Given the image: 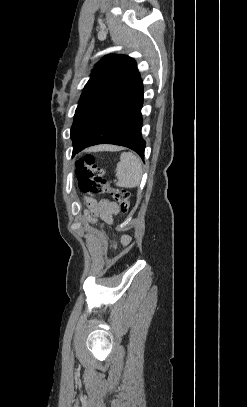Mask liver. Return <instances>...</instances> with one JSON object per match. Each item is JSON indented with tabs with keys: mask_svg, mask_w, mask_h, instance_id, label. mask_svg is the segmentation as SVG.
<instances>
[{
	"mask_svg": "<svg viewBox=\"0 0 247 407\" xmlns=\"http://www.w3.org/2000/svg\"><path fill=\"white\" fill-rule=\"evenodd\" d=\"M112 147L111 146H103V147H100L99 149H111Z\"/></svg>",
	"mask_w": 247,
	"mask_h": 407,
	"instance_id": "liver-1",
	"label": "liver"
}]
</instances>
